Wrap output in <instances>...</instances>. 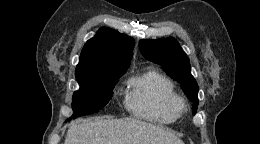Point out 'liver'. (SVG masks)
<instances>
[{
  "mask_svg": "<svg viewBox=\"0 0 260 144\" xmlns=\"http://www.w3.org/2000/svg\"><path fill=\"white\" fill-rule=\"evenodd\" d=\"M65 144H184L172 132L136 118L76 120Z\"/></svg>",
  "mask_w": 260,
  "mask_h": 144,
  "instance_id": "6515ba94",
  "label": "liver"
}]
</instances>
